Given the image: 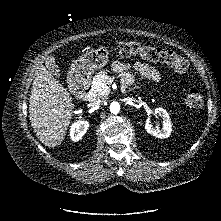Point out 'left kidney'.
Returning a JSON list of instances; mask_svg holds the SVG:
<instances>
[{"label":"left kidney","mask_w":221,"mask_h":221,"mask_svg":"<svg viewBox=\"0 0 221 221\" xmlns=\"http://www.w3.org/2000/svg\"><path fill=\"white\" fill-rule=\"evenodd\" d=\"M154 115L156 117H160L162 119V128L160 129L159 127L154 128L150 123L151 120L150 118H147L146 123H145V129L146 131L158 138H168L171 134L172 131V126H171V121L169 119V114L167 111L163 108H156L154 111Z\"/></svg>","instance_id":"left-kidney-1"}]
</instances>
